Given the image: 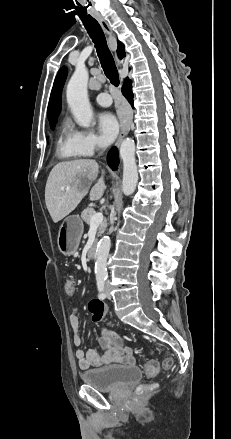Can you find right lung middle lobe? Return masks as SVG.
<instances>
[{
    "label": "right lung middle lobe",
    "instance_id": "right-lung-middle-lobe-1",
    "mask_svg": "<svg viewBox=\"0 0 231 439\" xmlns=\"http://www.w3.org/2000/svg\"><path fill=\"white\" fill-rule=\"evenodd\" d=\"M55 128V126H52L51 129L53 130Z\"/></svg>",
    "mask_w": 231,
    "mask_h": 439
}]
</instances>
